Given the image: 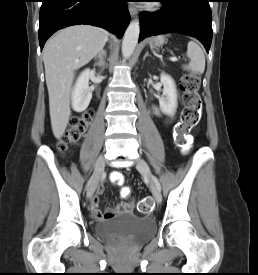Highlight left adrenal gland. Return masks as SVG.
<instances>
[{"label":"left adrenal gland","instance_id":"obj_1","mask_svg":"<svg viewBox=\"0 0 258 275\" xmlns=\"http://www.w3.org/2000/svg\"><path fill=\"white\" fill-rule=\"evenodd\" d=\"M149 55L148 51L146 52V54L143 57V60H145V58Z\"/></svg>","mask_w":258,"mask_h":275}]
</instances>
